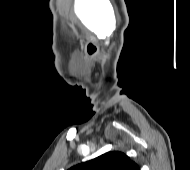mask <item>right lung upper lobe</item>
I'll return each instance as SVG.
<instances>
[{
  "label": "right lung upper lobe",
  "mask_w": 190,
  "mask_h": 170,
  "mask_svg": "<svg viewBox=\"0 0 190 170\" xmlns=\"http://www.w3.org/2000/svg\"><path fill=\"white\" fill-rule=\"evenodd\" d=\"M68 170H140L127 155L119 151L107 152L95 159L75 165Z\"/></svg>",
  "instance_id": "1"
}]
</instances>
